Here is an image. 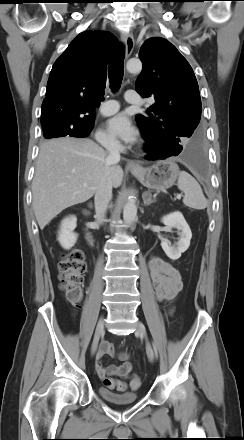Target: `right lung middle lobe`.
Wrapping results in <instances>:
<instances>
[{"label":"right lung middle lobe","instance_id":"obj_1","mask_svg":"<svg viewBox=\"0 0 244 440\" xmlns=\"http://www.w3.org/2000/svg\"><path fill=\"white\" fill-rule=\"evenodd\" d=\"M93 124L94 121L82 126H75L60 120L41 121L43 136L46 139L63 136L86 137L91 132Z\"/></svg>","mask_w":244,"mask_h":440}]
</instances>
